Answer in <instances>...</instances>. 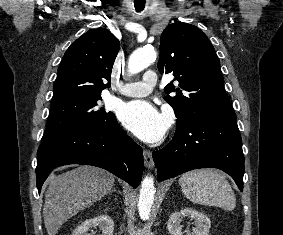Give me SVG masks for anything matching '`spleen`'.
Returning a JSON list of instances; mask_svg holds the SVG:
<instances>
[{
	"instance_id": "3e777b00",
	"label": "spleen",
	"mask_w": 283,
	"mask_h": 235,
	"mask_svg": "<svg viewBox=\"0 0 283 235\" xmlns=\"http://www.w3.org/2000/svg\"><path fill=\"white\" fill-rule=\"evenodd\" d=\"M183 194L191 202L204 206H215L233 210L236 206L235 194L229 182L213 169L193 170L179 179Z\"/></svg>"
}]
</instances>
